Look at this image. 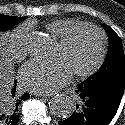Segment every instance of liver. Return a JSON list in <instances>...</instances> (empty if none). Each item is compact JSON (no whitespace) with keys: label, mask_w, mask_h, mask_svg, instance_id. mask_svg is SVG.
Returning a JSON list of instances; mask_svg holds the SVG:
<instances>
[{"label":"liver","mask_w":125,"mask_h":125,"mask_svg":"<svg viewBox=\"0 0 125 125\" xmlns=\"http://www.w3.org/2000/svg\"><path fill=\"white\" fill-rule=\"evenodd\" d=\"M13 87V67L0 38V100H7Z\"/></svg>","instance_id":"obj_1"}]
</instances>
